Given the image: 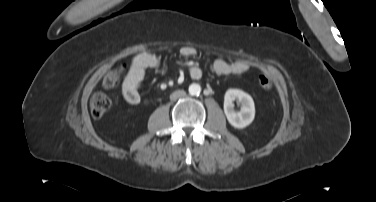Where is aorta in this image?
I'll use <instances>...</instances> for the list:
<instances>
[{"label":"aorta","mask_w":376,"mask_h":202,"mask_svg":"<svg viewBox=\"0 0 376 202\" xmlns=\"http://www.w3.org/2000/svg\"><path fill=\"white\" fill-rule=\"evenodd\" d=\"M201 92V87L199 84L193 83L189 86V93L191 95H199Z\"/></svg>","instance_id":"obj_1"}]
</instances>
